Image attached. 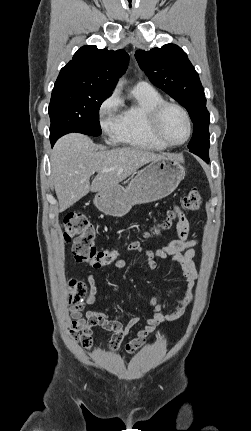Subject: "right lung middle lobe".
Wrapping results in <instances>:
<instances>
[{
  "label": "right lung middle lobe",
  "mask_w": 251,
  "mask_h": 431,
  "mask_svg": "<svg viewBox=\"0 0 251 431\" xmlns=\"http://www.w3.org/2000/svg\"><path fill=\"white\" fill-rule=\"evenodd\" d=\"M111 94L71 82L55 83L49 105L50 138L70 132L101 135L99 108Z\"/></svg>",
  "instance_id": "right-lung-middle-lobe-1"
}]
</instances>
